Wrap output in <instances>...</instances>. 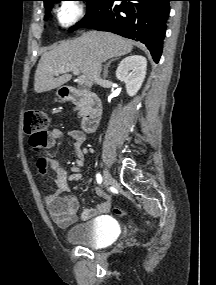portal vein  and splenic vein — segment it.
I'll return each mask as SVG.
<instances>
[{
    "label": "portal vein and splenic vein",
    "mask_w": 216,
    "mask_h": 285,
    "mask_svg": "<svg viewBox=\"0 0 216 285\" xmlns=\"http://www.w3.org/2000/svg\"><path fill=\"white\" fill-rule=\"evenodd\" d=\"M68 71H72L74 73V75H77V82L78 84H84L86 83V77L85 75H80V71L77 67H69V68H63V69H60L56 75H59V74H62V73H65V72H68Z\"/></svg>",
    "instance_id": "1"
}]
</instances>
